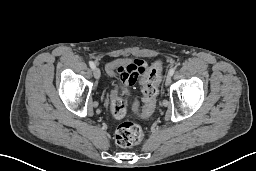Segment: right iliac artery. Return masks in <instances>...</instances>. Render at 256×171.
Masks as SVG:
<instances>
[{
    "mask_svg": "<svg viewBox=\"0 0 256 171\" xmlns=\"http://www.w3.org/2000/svg\"><path fill=\"white\" fill-rule=\"evenodd\" d=\"M89 65H90L91 69H95V67H96V65L93 61H90Z\"/></svg>",
    "mask_w": 256,
    "mask_h": 171,
    "instance_id": "obj_1",
    "label": "right iliac artery"
}]
</instances>
